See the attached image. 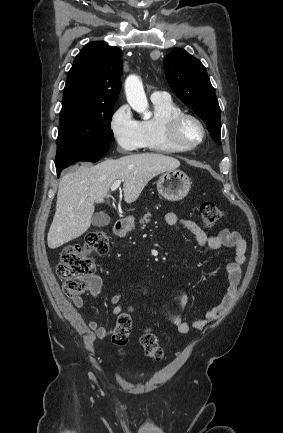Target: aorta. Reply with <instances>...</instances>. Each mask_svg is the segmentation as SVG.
Masks as SVG:
<instances>
[{"label":"aorta","mask_w":283,"mask_h":433,"mask_svg":"<svg viewBox=\"0 0 283 433\" xmlns=\"http://www.w3.org/2000/svg\"><path fill=\"white\" fill-rule=\"evenodd\" d=\"M125 93L129 105L142 114L144 119H149L152 113L148 111V101L141 79L137 75H129L125 80Z\"/></svg>","instance_id":"1"}]
</instances>
